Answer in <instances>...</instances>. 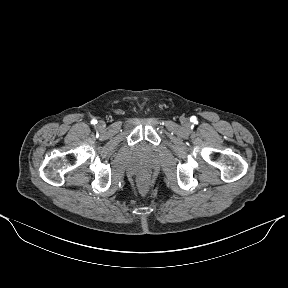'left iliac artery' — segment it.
<instances>
[{
	"label": "left iliac artery",
	"mask_w": 288,
	"mask_h": 288,
	"mask_svg": "<svg viewBox=\"0 0 288 288\" xmlns=\"http://www.w3.org/2000/svg\"><path fill=\"white\" fill-rule=\"evenodd\" d=\"M196 121H197L196 117H195V116H192V117H191V122L196 123Z\"/></svg>",
	"instance_id": "left-iliac-artery-1"
}]
</instances>
